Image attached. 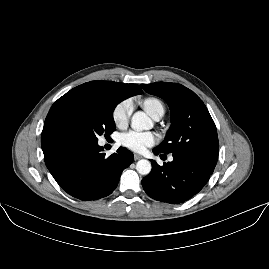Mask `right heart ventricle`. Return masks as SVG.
<instances>
[{
  "mask_svg": "<svg viewBox=\"0 0 269 269\" xmlns=\"http://www.w3.org/2000/svg\"><path fill=\"white\" fill-rule=\"evenodd\" d=\"M143 107L152 116L159 108H163L162 103L156 98H146L143 100Z\"/></svg>",
  "mask_w": 269,
  "mask_h": 269,
  "instance_id": "e07e8e85",
  "label": "right heart ventricle"
}]
</instances>
